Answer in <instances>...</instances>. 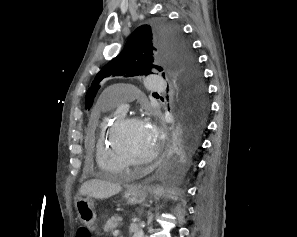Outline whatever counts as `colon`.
Segmentation results:
<instances>
[{"label": "colon", "instance_id": "colon-1", "mask_svg": "<svg viewBox=\"0 0 297 237\" xmlns=\"http://www.w3.org/2000/svg\"><path fill=\"white\" fill-rule=\"evenodd\" d=\"M76 237H91V234L87 228L81 227L77 230Z\"/></svg>", "mask_w": 297, "mask_h": 237}]
</instances>
